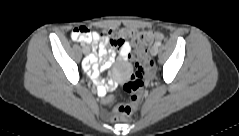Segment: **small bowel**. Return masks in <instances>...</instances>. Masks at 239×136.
I'll use <instances>...</instances> for the list:
<instances>
[{"label": "small bowel", "mask_w": 239, "mask_h": 136, "mask_svg": "<svg viewBox=\"0 0 239 136\" xmlns=\"http://www.w3.org/2000/svg\"><path fill=\"white\" fill-rule=\"evenodd\" d=\"M133 30H124L122 35L124 38H131ZM73 38V32H72ZM73 40H75L73 38ZM80 43H93L99 44L95 47V54L89 56L86 60L85 64H87V68L90 71V75L92 78L97 79L100 72L106 70L111 67L114 61L115 50L114 47H111L108 44L107 37L100 36L97 32H91L90 38L85 40H75ZM118 57L120 60L124 62H129L131 45L129 41L124 40L123 44L118 47ZM100 57V60H99ZM117 84L115 81L109 82L107 84L100 82L98 85L99 92L105 94L107 92H111L116 88ZM113 102V97L111 95H107L103 103L107 106L111 105Z\"/></svg>", "instance_id": "1"}]
</instances>
